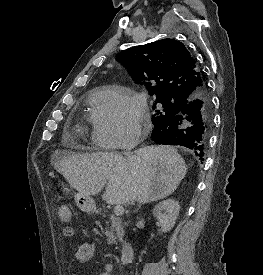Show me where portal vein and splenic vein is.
<instances>
[{"mask_svg": "<svg viewBox=\"0 0 263 275\" xmlns=\"http://www.w3.org/2000/svg\"><path fill=\"white\" fill-rule=\"evenodd\" d=\"M123 212H124V208H123L122 205H117V206L114 208V214H115L116 216L122 215Z\"/></svg>", "mask_w": 263, "mask_h": 275, "instance_id": "obj_1", "label": "portal vein and splenic vein"}]
</instances>
